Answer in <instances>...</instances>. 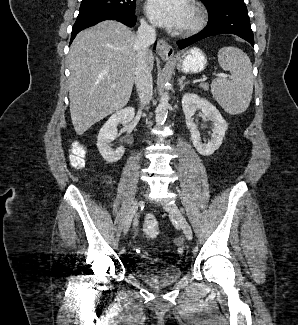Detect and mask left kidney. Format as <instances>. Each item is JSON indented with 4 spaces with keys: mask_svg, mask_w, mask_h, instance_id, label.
Returning a JSON list of instances; mask_svg holds the SVG:
<instances>
[{
    "mask_svg": "<svg viewBox=\"0 0 298 325\" xmlns=\"http://www.w3.org/2000/svg\"><path fill=\"white\" fill-rule=\"evenodd\" d=\"M182 110L185 114V122L187 128L190 130L191 140L198 152L203 156H210L213 154L219 146L222 144L223 136L228 128V122L224 120L221 112L218 108L207 100V98H201L199 94L194 92H185L182 96ZM202 110L205 120H212L213 128L210 140L207 144H202L200 132L197 128V124L193 122V114L196 110Z\"/></svg>",
    "mask_w": 298,
    "mask_h": 325,
    "instance_id": "obj_1",
    "label": "left kidney"
}]
</instances>
